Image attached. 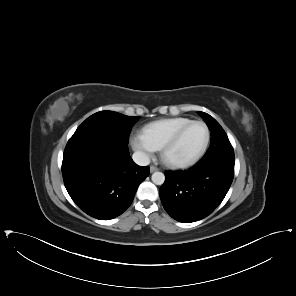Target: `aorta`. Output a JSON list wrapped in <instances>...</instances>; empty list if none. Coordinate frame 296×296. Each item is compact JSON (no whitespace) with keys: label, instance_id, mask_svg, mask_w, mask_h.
Instances as JSON below:
<instances>
[{"label":"aorta","instance_id":"762f6f07","mask_svg":"<svg viewBox=\"0 0 296 296\" xmlns=\"http://www.w3.org/2000/svg\"><path fill=\"white\" fill-rule=\"evenodd\" d=\"M151 179L154 184L162 185L165 181V175L162 172H154Z\"/></svg>","mask_w":296,"mask_h":296}]
</instances>
